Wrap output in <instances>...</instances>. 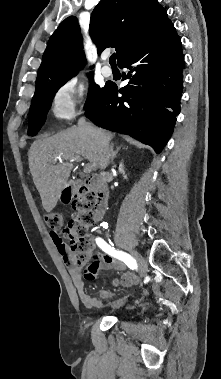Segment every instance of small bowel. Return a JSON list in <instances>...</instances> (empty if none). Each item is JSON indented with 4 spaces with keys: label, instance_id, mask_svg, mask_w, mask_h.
I'll return each mask as SVG.
<instances>
[{
    "label": "small bowel",
    "instance_id": "c3829d8e",
    "mask_svg": "<svg viewBox=\"0 0 221 379\" xmlns=\"http://www.w3.org/2000/svg\"><path fill=\"white\" fill-rule=\"evenodd\" d=\"M51 237L68 268L71 281L77 290L78 297L85 307L91 309L101 308L103 306V300L114 297V293L112 291L105 289L99 292V298L90 295L85 290L83 279H85V282H96L100 269H115L124 272L119 279L113 281L115 286L126 287L136 282L135 276L126 271L127 268L123 262L113 258V256L109 254L102 255L97 252H95V258L93 255H90V257L87 258L88 266L82 268L83 274H81L80 270L77 268V265L74 263L73 255L69 252L61 238L55 235H51Z\"/></svg>",
    "mask_w": 221,
    "mask_h": 379
}]
</instances>
